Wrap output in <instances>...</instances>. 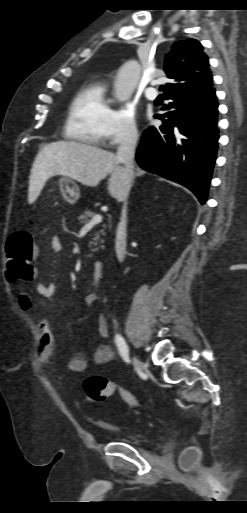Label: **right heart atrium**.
<instances>
[{"label": "right heart atrium", "instance_id": "d8ad5b80", "mask_svg": "<svg viewBox=\"0 0 247 513\" xmlns=\"http://www.w3.org/2000/svg\"><path fill=\"white\" fill-rule=\"evenodd\" d=\"M138 135L135 112L130 104L112 109L104 132L107 146L115 147L121 143L130 142Z\"/></svg>", "mask_w": 247, "mask_h": 513}]
</instances>
